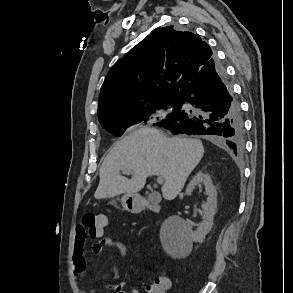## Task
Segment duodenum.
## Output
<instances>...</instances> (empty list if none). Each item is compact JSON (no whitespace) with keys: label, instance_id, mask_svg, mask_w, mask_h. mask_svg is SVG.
<instances>
[{"label":"duodenum","instance_id":"410a0bca","mask_svg":"<svg viewBox=\"0 0 293 293\" xmlns=\"http://www.w3.org/2000/svg\"><path fill=\"white\" fill-rule=\"evenodd\" d=\"M144 209H151L153 211H160V204L154 203L151 204L150 202H147L146 200L138 201L136 203V211H143Z\"/></svg>","mask_w":293,"mask_h":293}]
</instances>
